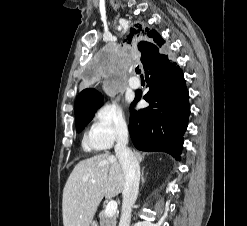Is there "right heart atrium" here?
I'll list each match as a JSON object with an SVG mask.
<instances>
[{"mask_svg": "<svg viewBox=\"0 0 247 226\" xmlns=\"http://www.w3.org/2000/svg\"><path fill=\"white\" fill-rule=\"evenodd\" d=\"M129 133V124L122 110L114 105L99 108L93 118L85 141L90 149L107 150L123 141Z\"/></svg>", "mask_w": 247, "mask_h": 226, "instance_id": "d8ad5b80", "label": "right heart atrium"}]
</instances>
